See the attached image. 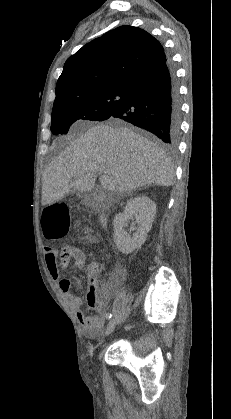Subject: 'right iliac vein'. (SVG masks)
<instances>
[{
    "instance_id": "obj_1",
    "label": "right iliac vein",
    "mask_w": 231,
    "mask_h": 419,
    "mask_svg": "<svg viewBox=\"0 0 231 419\" xmlns=\"http://www.w3.org/2000/svg\"><path fill=\"white\" fill-rule=\"evenodd\" d=\"M116 319L115 318H113V319H111L110 321H109V323H108V325H107V328H106V332H105V334L108 336L109 334H111L113 331H114V329H115V327H116Z\"/></svg>"
}]
</instances>
